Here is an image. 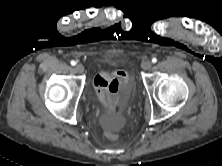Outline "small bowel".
Segmentation results:
<instances>
[{
    "mask_svg": "<svg viewBox=\"0 0 222 166\" xmlns=\"http://www.w3.org/2000/svg\"><path fill=\"white\" fill-rule=\"evenodd\" d=\"M93 87L98 100L107 108L127 98L130 87V77L123 70L100 71L93 80Z\"/></svg>",
    "mask_w": 222,
    "mask_h": 166,
    "instance_id": "1",
    "label": "small bowel"
}]
</instances>
